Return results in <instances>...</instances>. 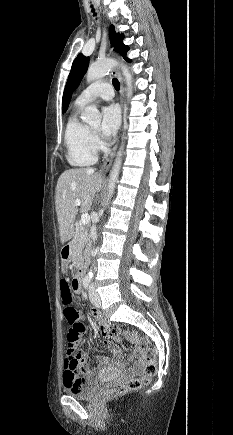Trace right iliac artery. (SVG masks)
Wrapping results in <instances>:
<instances>
[{
	"label": "right iliac artery",
	"mask_w": 233,
	"mask_h": 435,
	"mask_svg": "<svg viewBox=\"0 0 233 435\" xmlns=\"http://www.w3.org/2000/svg\"><path fill=\"white\" fill-rule=\"evenodd\" d=\"M91 279L90 278H86L83 280V286L84 288H88L89 284H90Z\"/></svg>",
	"instance_id": "1"
}]
</instances>
